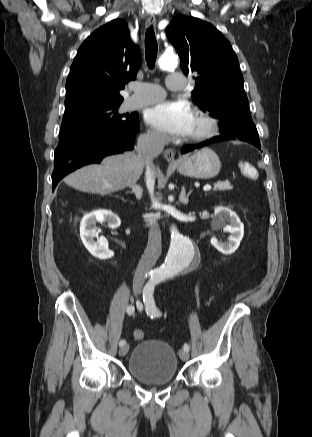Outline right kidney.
<instances>
[{
	"label": "right kidney",
	"instance_id": "1",
	"mask_svg": "<svg viewBox=\"0 0 312 437\" xmlns=\"http://www.w3.org/2000/svg\"><path fill=\"white\" fill-rule=\"evenodd\" d=\"M108 223L110 228L120 226L119 217L108 210H97L86 214L80 223V237L86 249L96 258L108 259L112 256V252L108 249V242L104 237H96V223Z\"/></svg>",
	"mask_w": 312,
	"mask_h": 437
}]
</instances>
